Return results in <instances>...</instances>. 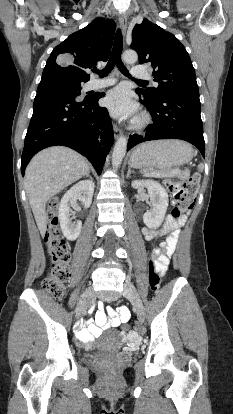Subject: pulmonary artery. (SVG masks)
I'll list each match as a JSON object with an SVG mask.
<instances>
[{"instance_id": "obj_1", "label": "pulmonary artery", "mask_w": 233, "mask_h": 414, "mask_svg": "<svg viewBox=\"0 0 233 414\" xmlns=\"http://www.w3.org/2000/svg\"><path fill=\"white\" fill-rule=\"evenodd\" d=\"M132 76L134 78H141V79H149L150 73L148 71H146L145 69H142L140 67H134L131 71ZM116 82L115 78H105V79H101V80H92L89 84V87L91 89H98V88H102L105 86H109L112 85Z\"/></svg>"}]
</instances>
